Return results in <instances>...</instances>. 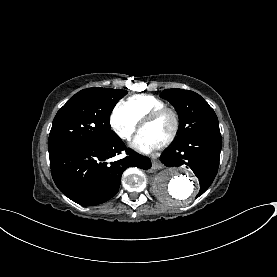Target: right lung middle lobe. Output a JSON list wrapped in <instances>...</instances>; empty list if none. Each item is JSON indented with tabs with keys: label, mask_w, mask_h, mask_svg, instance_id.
Listing matches in <instances>:
<instances>
[{
	"label": "right lung middle lobe",
	"mask_w": 277,
	"mask_h": 277,
	"mask_svg": "<svg viewBox=\"0 0 277 277\" xmlns=\"http://www.w3.org/2000/svg\"><path fill=\"white\" fill-rule=\"evenodd\" d=\"M125 90L88 88L76 93L57 112L49 134V153L67 146L96 144L117 137L110 114Z\"/></svg>",
	"instance_id": "dd1d6c3e"
}]
</instances>
